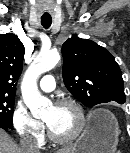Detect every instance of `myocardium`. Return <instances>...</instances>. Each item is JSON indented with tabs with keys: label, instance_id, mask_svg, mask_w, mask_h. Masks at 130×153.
I'll return each mask as SVG.
<instances>
[{
	"label": "myocardium",
	"instance_id": "obj_1",
	"mask_svg": "<svg viewBox=\"0 0 130 153\" xmlns=\"http://www.w3.org/2000/svg\"><path fill=\"white\" fill-rule=\"evenodd\" d=\"M67 105L71 106L77 113L78 124L73 133L69 136L57 135L51 127L45 122L49 138L58 144H69L77 140L83 133L86 126V114L82 105L72 98H62L56 101L55 106Z\"/></svg>",
	"mask_w": 130,
	"mask_h": 153
}]
</instances>
